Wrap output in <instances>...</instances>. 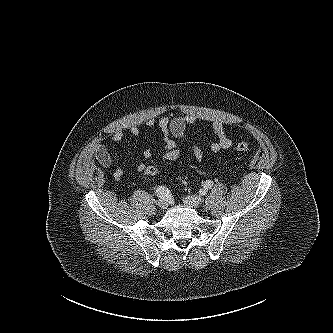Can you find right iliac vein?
<instances>
[{
    "label": "right iliac vein",
    "mask_w": 333,
    "mask_h": 333,
    "mask_svg": "<svg viewBox=\"0 0 333 333\" xmlns=\"http://www.w3.org/2000/svg\"><path fill=\"white\" fill-rule=\"evenodd\" d=\"M157 205L158 207H160L161 209H166L168 207V200L166 198H160L157 201Z\"/></svg>",
    "instance_id": "right-iliac-vein-1"
}]
</instances>
